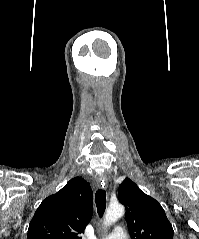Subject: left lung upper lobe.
Instances as JSON below:
<instances>
[{"label":"left lung upper lobe","instance_id":"left-lung-upper-lobe-1","mask_svg":"<svg viewBox=\"0 0 199 239\" xmlns=\"http://www.w3.org/2000/svg\"><path fill=\"white\" fill-rule=\"evenodd\" d=\"M118 198L126 208L131 239H173L174 231L162 206L129 178L119 185Z\"/></svg>","mask_w":199,"mask_h":239}]
</instances>
